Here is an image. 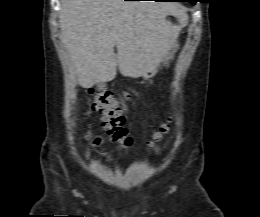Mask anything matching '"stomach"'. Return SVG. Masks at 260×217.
Here are the masks:
<instances>
[{
  "mask_svg": "<svg viewBox=\"0 0 260 217\" xmlns=\"http://www.w3.org/2000/svg\"><path fill=\"white\" fill-rule=\"evenodd\" d=\"M174 42H175V40L172 41V44H171V46L169 47V49L166 51L163 60H169V59H171V58L173 57L174 52H175ZM156 72H157V69H156V68H153V69L147 71L146 73H144V74L142 75V77H143L144 79H150V78H152V77L156 74Z\"/></svg>",
  "mask_w": 260,
  "mask_h": 217,
  "instance_id": "stomach-1",
  "label": "stomach"
}]
</instances>
